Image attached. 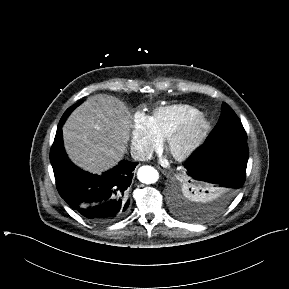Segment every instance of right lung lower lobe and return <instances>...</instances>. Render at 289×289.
<instances>
[{"mask_svg": "<svg viewBox=\"0 0 289 289\" xmlns=\"http://www.w3.org/2000/svg\"><path fill=\"white\" fill-rule=\"evenodd\" d=\"M63 123L58 124L50 151V162L60 196L92 223L104 224L122 218L127 213L129 186L138 163L122 160L102 175L81 170L65 153Z\"/></svg>", "mask_w": 289, "mask_h": 289, "instance_id": "1", "label": "right lung lower lobe"}]
</instances>
